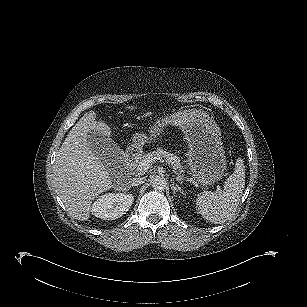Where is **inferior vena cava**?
Segmentation results:
<instances>
[{"instance_id":"602c4592","label":"inferior vena cava","mask_w":307,"mask_h":307,"mask_svg":"<svg viewBox=\"0 0 307 307\" xmlns=\"http://www.w3.org/2000/svg\"><path fill=\"white\" fill-rule=\"evenodd\" d=\"M144 183V178L143 177H135L131 179L130 184L131 186H138Z\"/></svg>"}]
</instances>
